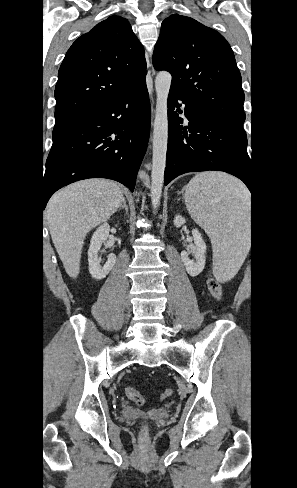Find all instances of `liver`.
<instances>
[{"instance_id": "1", "label": "liver", "mask_w": 297, "mask_h": 488, "mask_svg": "<svg viewBox=\"0 0 297 488\" xmlns=\"http://www.w3.org/2000/svg\"><path fill=\"white\" fill-rule=\"evenodd\" d=\"M123 199L115 182L96 178L68 185L50 198L45 214L51 238L71 278L80 272L86 235L108 220Z\"/></svg>"}]
</instances>
